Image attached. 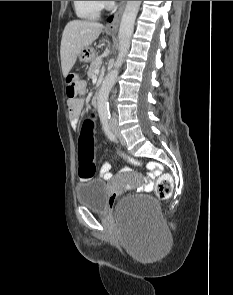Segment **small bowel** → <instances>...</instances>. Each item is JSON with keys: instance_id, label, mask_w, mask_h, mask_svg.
I'll list each match as a JSON object with an SVG mask.
<instances>
[{"instance_id": "c3829d8e", "label": "small bowel", "mask_w": 233, "mask_h": 295, "mask_svg": "<svg viewBox=\"0 0 233 295\" xmlns=\"http://www.w3.org/2000/svg\"><path fill=\"white\" fill-rule=\"evenodd\" d=\"M84 106V101L82 98L77 99H69L68 100V114H69V120L71 122V125L73 128H76L77 123L81 117L82 110ZM149 172V178L150 181L139 187V192H149L153 189V179L156 178L161 171V165L156 162H151L147 165ZM130 170L128 168H123L121 172H129ZM101 177L105 180H110L113 177V174L111 172V165L110 162L106 161L103 165V168L101 170Z\"/></svg>"}]
</instances>
